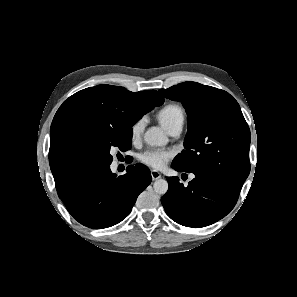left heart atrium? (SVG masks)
<instances>
[{
	"label": "left heart atrium",
	"mask_w": 297,
	"mask_h": 297,
	"mask_svg": "<svg viewBox=\"0 0 297 297\" xmlns=\"http://www.w3.org/2000/svg\"><path fill=\"white\" fill-rule=\"evenodd\" d=\"M173 156L174 152L172 150L150 149L142 153L140 159L143 164L160 170L167 165Z\"/></svg>",
	"instance_id": "obj_1"
}]
</instances>
